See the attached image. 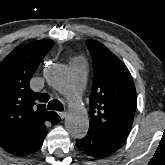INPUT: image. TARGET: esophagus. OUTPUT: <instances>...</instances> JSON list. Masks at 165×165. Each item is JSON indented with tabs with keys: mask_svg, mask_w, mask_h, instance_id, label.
Wrapping results in <instances>:
<instances>
[{
	"mask_svg": "<svg viewBox=\"0 0 165 165\" xmlns=\"http://www.w3.org/2000/svg\"><path fill=\"white\" fill-rule=\"evenodd\" d=\"M66 115H67V112H65V111L59 112V116H60L62 119H64V118L66 117Z\"/></svg>",
	"mask_w": 165,
	"mask_h": 165,
	"instance_id": "obj_1",
	"label": "esophagus"
}]
</instances>
